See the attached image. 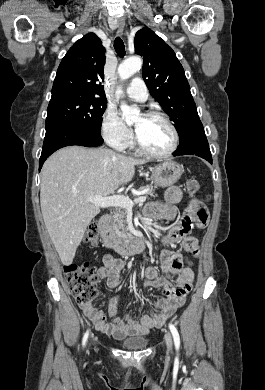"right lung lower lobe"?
<instances>
[{
	"label": "right lung lower lobe",
	"instance_id": "98d812e1",
	"mask_svg": "<svg viewBox=\"0 0 265 390\" xmlns=\"http://www.w3.org/2000/svg\"><path fill=\"white\" fill-rule=\"evenodd\" d=\"M103 143L101 133H94L70 123L46 124V135L39 161V171L45 160L56 150L70 145L97 147Z\"/></svg>",
	"mask_w": 265,
	"mask_h": 390
}]
</instances>
